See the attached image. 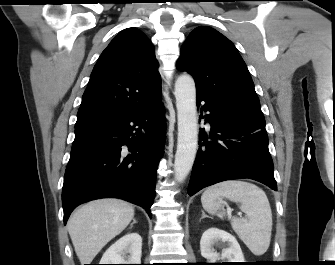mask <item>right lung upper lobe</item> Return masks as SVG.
Here are the masks:
<instances>
[{
    "instance_id": "obj_1",
    "label": "right lung upper lobe",
    "mask_w": 335,
    "mask_h": 265,
    "mask_svg": "<svg viewBox=\"0 0 335 265\" xmlns=\"http://www.w3.org/2000/svg\"><path fill=\"white\" fill-rule=\"evenodd\" d=\"M161 95L158 62L149 39L138 29L127 28L94 66L75 127L147 108Z\"/></svg>"
}]
</instances>
